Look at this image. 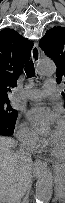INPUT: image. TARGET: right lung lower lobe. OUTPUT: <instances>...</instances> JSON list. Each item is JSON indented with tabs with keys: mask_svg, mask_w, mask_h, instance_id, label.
<instances>
[{
	"mask_svg": "<svg viewBox=\"0 0 65 203\" xmlns=\"http://www.w3.org/2000/svg\"><path fill=\"white\" fill-rule=\"evenodd\" d=\"M15 125L12 127L5 126L0 124V135L9 136L14 132Z\"/></svg>",
	"mask_w": 65,
	"mask_h": 203,
	"instance_id": "obj_1",
	"label": "right lung lower lobe"
}]
</instances>
